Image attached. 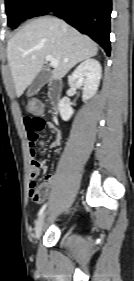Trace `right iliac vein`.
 <instances>
[{
	"label": "right iliac vein",
	"mask_w": 134,
	"mask_h": 281,
	"mask_svg": "<svg viewBox=\"0 0 134 281\" xmlns=\"http://www.w3.org/2000/svg\"><path fill=\"white\" fill-rule=\"evenodd\" d=\"M45 216L46 214L43 213L37 220L36 225H35V233H34V237L36 239H39L41 234H42V229H43V225H44V221H45Z\"/></svg>",
	"instance_id": "obj_1"
}]
</instances>
